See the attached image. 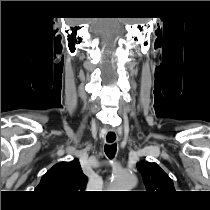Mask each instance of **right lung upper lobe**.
I'll return each instance as SVG.
<instances>
[{"label":"right lung upper lobe","instance_id":"cb5924a9","mask_svg":"<svg viewBox=\"0 0 210 210\" xmlns=\"http://www.w3.org/2000/svg\"><path fill=\"white\" fill-rule=\"evenodd\" d=\"M88 181L77 159L60 162L43 175L35 191L56 202H66L78 197Z\"/></svg>","mask_w":210,"mask_h":210}]
</instances>
